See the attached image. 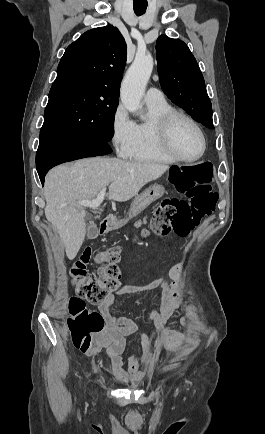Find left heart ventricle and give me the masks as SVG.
I'll use <instances>...</instances> for the list:
<instances>
[{"instance_id": "left-heart-ventricle-1", "label": "left heart ventricle", "mask_w": 265, "mask_h": 434, "mask_svg": "<svg viewBox=\"0 0 265 434\" xmlns=\"http://www.w3.org/2000/svg\"><path fill=\"white\" fill-rule=\"evenodd\" d=\"M172 139L176 150L183 158H195L202 150L199 134L192 125L184 120H178L175 123Z\"/></svg>"}]
</instances>
